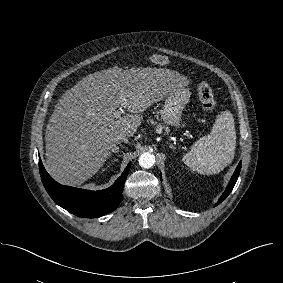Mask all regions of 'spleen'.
<instances>
[{
	"mask_svg": "<svg viewBox=\"0 0 283 283\" xmlns=\"http://www.w3.org/2000/svg\"><path fill=\"white\" fill-rule=\"evenodd\" d=\"M236 131L230 111L221 112L210 134L200 138L182 160L200 174H215L228 166L235 155Z\"/></svg>",
	"mask_w": 283,
	"mask_h": 283,
	"instance_id": "1",
	"label": "spleen"
}]
</instances>
